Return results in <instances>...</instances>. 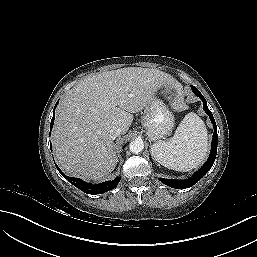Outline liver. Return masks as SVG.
Masks as SVG:
<instances>
[{
	"instance_id": "6515ba94",
	"label": "liver",
	"mask_w": 257,
	"mask_h": 257,
	"mask_svg": "<svg viewBox=\"0 0 257 257\" xmlns=\"http://www.w3.org/2000/svg\"><path fill=\"white\" fill-rule=\"evenodd\" d=\"M176 85L157 69L127 67L91 75L58 106L52 132L55 158L68 175L100 180L117 162L112 130L125 134L133 113L143 110L158 89Z\"/></svg>"
}]
</instances>
